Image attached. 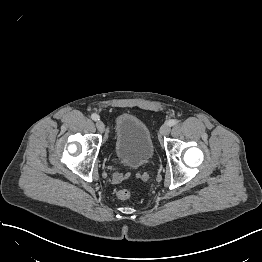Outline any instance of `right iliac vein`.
<instances>
[{
    "instance_id": "63e3f726",
    "label": "right iliac vein",
    "mask_w": 262,
    "mask_h": 262,
    "mask_svg": "<svg viewBox=\"0 0 262 262\" xmlns=\"http://www.w3.org/2000/svg\"><path fill=\"white\" fill-rule=\"evenodd\" d=\"M96 127H97V129H98L101 133H103V132L105 131V125H104V123H103L101 120H98V121L96 122Z\"/></svg>"
}]
</instances>
